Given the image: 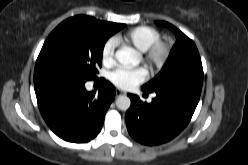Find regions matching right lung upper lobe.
Returning <instances> with one entry per match:
<instances>
[{
  "label": "right lung upper lobe",
  "mask_w": 248,
  "mask_h": 165,
  "mask_svg": "<svg viewBox=\"0 0 248 165\" xmlns=\"http://www.w3.org/2000/svg\"><path fill=\"white\" fill-rule=\"evenodd\" d=\"M72 18L79 19V20L85 22L86 24H88L94 28L101 29V30H112V29L118 28L122 25V24H118V23L100 21V20H97L91 16H86V15H78V16H75Z\"/></svg>",
  "instance_id": "obj_1"
}]
</instances>
